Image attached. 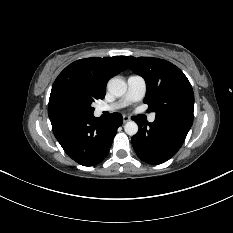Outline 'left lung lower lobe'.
Listing matches in <instances>:
<instances>
[{"label": "left lung lower lobe", "instance_id": "obj_1", "mask_svg": "<svg viewBox=\"0 0 233 233\" xmlns=\"http://www.w3.org/2000/svg\"><path fill=\"white\" fill-rule=\"evenodd\" d=\"M133 120L139 131L132 137V145L137 156L144 162L157 165L166 162L182 146L191 125L181 121L157 117L153 123Z\"/></svg>", "mask_w": 233, "mask_h": 233}]
</instances>
